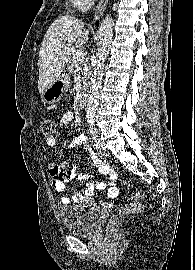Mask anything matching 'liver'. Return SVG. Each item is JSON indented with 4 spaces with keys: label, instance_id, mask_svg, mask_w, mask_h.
Wrapping results in <instances>:
<instances>
[{
    "label": "liver",
    "instance_id": "liver-1",
    "mask_svg": "<svg viewBox=\"0 0 195 270\" xmlns=\"http://www.w3.org/2000/svg\"><path fill=\"white\" fill-rule=\"evenodd\" d=\"M88 39L84 23L71 15L61 16L49 26L39 51L40 94L60 76L70 56Z\"/></svg>",
    "mask_w": 195,
    "mask_h": 270
}]
</instances>
